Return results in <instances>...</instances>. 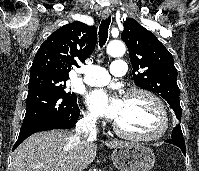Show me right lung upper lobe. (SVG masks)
Wrapping results in <instances>:
<instances>
[{"label":"right lung upper lobe","instance_id":"cb5924a9","mask_svg":"<svg viewBox=\"0 0 199 171\" xmlns=\"http://www.w3.org/2000/svg\"><path fill=\"white\" fill-rule=\"evenodd\" d=\"M96 27L75 21L52 33L37 51L30 76L49 74L69 78L77 61L84 62L96 46Z\"/></svg>","mask_w":199,"mask_h":171}]
</instances>
